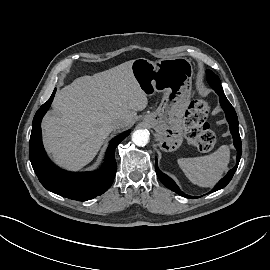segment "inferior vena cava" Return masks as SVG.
<instances>
[{
    "label": "inferior vena cava",
    "instance_id": "inferior-vena-cava-1",
    "mask_svg": "<svg viewBox=\"0 0 270 270\" xmlns=\"http://www.w3.org/2000/svg\"><path fill=\"white\" fill-rule=\"evenodd\" d=\"M112 128L119 129L124 127V121L121 119H116L111 124Z\"/></svg>",
    "mask_w": 270,
    "mask_h": 270
}]
</instances>
